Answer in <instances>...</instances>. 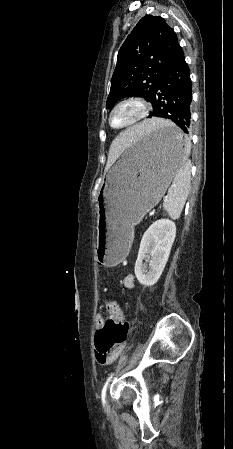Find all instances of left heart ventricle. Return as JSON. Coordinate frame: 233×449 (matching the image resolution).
<instances>
[{
	"label": "left heart ventricle",
	"mask_w": 233,
	"mask_h": 449,
	"mask_svg": "<svg viewBox=\"0 0 233 449\" xmlns=\"http://www.w3.org/2000/svg\"><path fill=\"white\" fill-rule=\"evenodd\" d=\"M138 107L134 104L124 105L118 108L113 116L112 123L115 126H121L131 121L137 114Z\"/></svg>",
	"instance_id": "obj_1"
}]
</instances>
